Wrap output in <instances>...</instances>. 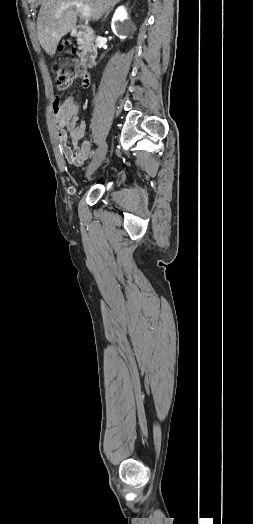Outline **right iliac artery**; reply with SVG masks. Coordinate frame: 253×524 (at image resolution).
I'll return each instance as SVG.
<instances>
[{
    "instance_id": "82829eb1",
    "label": "right iliac artery",
    "mask_w": 253,
    "mask_h": 524,
    "mask_svg": "<svg viewBox=\"0 0 253 524\" xmlns=\"http://www.w3.org/2000/svg\"><path fill=\"white\" fill-rule=\"evenodd\" d=\"M95 153H96V151L92 150L91 153H90V157L92 158L95 155Z\"/></svg>"
}]
</instances>
